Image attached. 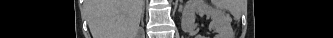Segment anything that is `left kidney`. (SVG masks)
Segmentation results:
<instances>
[{
    "instance_id": "obj_1",
    "label": "left kidney",
    "mask_w": 333,
    "mask_h": 38,
    "mask_svg": "<svg viewBox=\"0 0 333 38\" xmlns=\"http://www.w3.org/2000/svg\"><path fill=\"white\" fill-rule=\"evenodd\" d=\"M211 18L209 25L217 33L214 38H231L233 29L231 20L219 8L211 6L206 0H187L183 14L181 26L184 32L194 31L198 24L195 22L197 16ZM201 36H196L200 38Z\"/></svg>"
}]
</instances>
